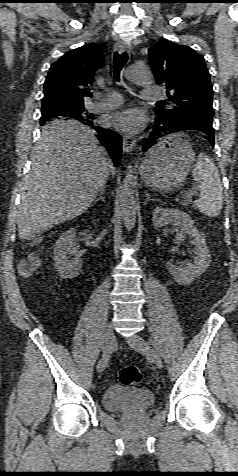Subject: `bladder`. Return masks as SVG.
I'll return each instance as SVG.
<instances>
[{
    "label": "bladder",
    "instance_id": "1",
    "mask_svg": "<svg viewBox=\"0 0 238 476\" xmlns=\"http://www.w3.org/2000/svg\"><path fill=\"white\" fill-rule=\"evenodd\" d=\"M153 392L143 387L112 385L102 396L104 408L110 412H135L145 410L153 405Z\"/></svg>",
    "mask_w": 238,
    "mask_h": 476
}]
</instances>
